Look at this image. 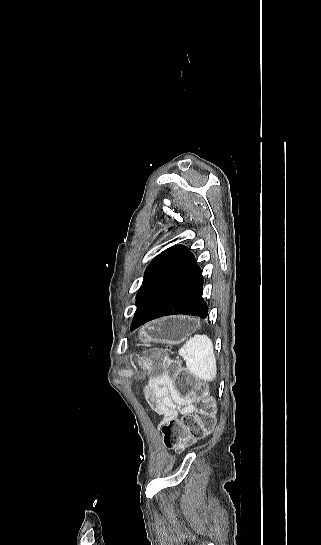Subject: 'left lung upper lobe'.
Here are the masks:
<instances>
[{
    "label": "left lung upper lobe",
    "mask_w": 321,
    "mask_h": 545,
    "mask_svg": "<svg viewBox=\"0 0 321 545\" xmlns=\"http://www.w3.org/2000/svg\"><path fill=\"white\" fill-rule=\"evenodd\" d=\"M172 249H173V247L164 250L162 253L157 255L152 260V262L150 263V265L146 269V272H145V275H144V280H143V283H142V285H141V287H140V289H139V291L137 293V297L139 296L140 292L142 291L144 286L147 284L149 279L152 277V275L159 269V267L162 265V263L168 257V255H169V253L171 252Z\"/></svg>",
    "instance_id": "1"
}]
</instances>
